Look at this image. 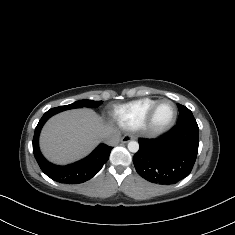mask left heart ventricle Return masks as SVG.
Listing matches in <instances>:
<instances>
[{
    "instance_id": "obj_1",
    "label": "left heart ventricle",
    "mask_w": 235,
    "mask_h": 235,
    "mask_svg": "<svg viewBox=\"0 0 235 235\" xmlns=\"http://www.w3.org/2000/svg\"><path fill=\"white\" fill-rule=\"evenodd\" d=\"M174 114H175L174 105L169 101L162 102L158 106V108L155 112V116H154L155 126L162 127V126L166 125L167 123H169L171 121Z\"/></svg>"
}]
</instances>
